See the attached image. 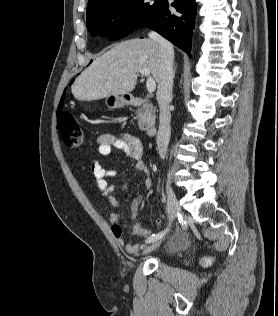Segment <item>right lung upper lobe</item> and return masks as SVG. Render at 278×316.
I'll return each instance as SVG.
<instances>
[{"instance_id":"1","label":"right lung upper lobe","mask_w":278,"mask_h":316,"mask_svg":"<svg viewBox=\"0 0 278 316\" xmlns=\"http://www.w3.org/2000/svg\"><path fill=\"white\" fill-rule=\"evenodd\" d=\"M107 1H110V0H88V5H87V12L94 8L95 6L101 4V3H104V2H107Z\"/></svg>"}]
</instances>
